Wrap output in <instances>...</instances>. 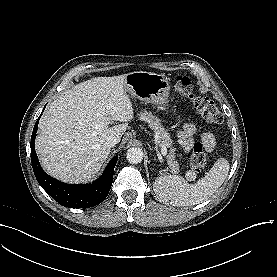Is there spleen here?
Listing matches in <instances>:
<instances>
[{
    "label": "spleen",
    "mask_w": 277,
    "mask_h": 277,
    "mask_svg": "<svg viewBox=\"0 0 277 277\" xmlns=\"http://www.w3.org/2000/svg\"><path fill=\"white\" fill-rule=\"evenodd\" d=\"M229 162L219 158L210 171L194 184H189L179 175L160 174L155 178L153 188L163 202L176 206H192L211 197L223 184L229 173Z\"/></svg>",
    "instance_id": "spleen-1"
}]
</instances>
